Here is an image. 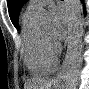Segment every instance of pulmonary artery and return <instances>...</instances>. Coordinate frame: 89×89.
Returning a JSON list of instances; mask_svg holds the SVG:
<instances>
[{
    "instance_id": "obj_1",
    "label": "pulmonary artery",
    "mask_w": 89,
    "mask_h": 89,
    "mask_svg": "<svg viewBox=\"0 0 89 89\" xmlns=\"http://www.w3.org/2000/svg\"><path fill=\"white\" fill-rule=\"evenodd\" d=\"M51 0H32L27 8V11L30 13H36L38 12L44 5L50 4Z\"/></svg>"
}]
</instances>
